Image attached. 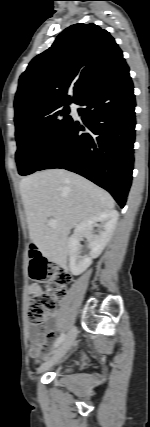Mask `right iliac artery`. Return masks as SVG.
I'll list each match as a JSON object with an SVG mask.
<instances>
[{"label": "right iliac artery", "instance_id": "82829eb1", "mask_svg": "<svg viewBox=\"0 0 150 427\" xmlns=\"http://www.w3.org/2000/svg\"><path fill=\"white\" fill-rule=\"evenodd\" d=\"M64 339H65V334L63 333L57 338L54 344V348L58 347L64 341Z\"/></svg>", "mask_w": 150, "mask_h": 427}]
</instances>
